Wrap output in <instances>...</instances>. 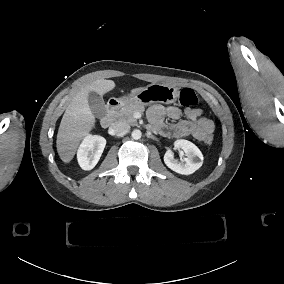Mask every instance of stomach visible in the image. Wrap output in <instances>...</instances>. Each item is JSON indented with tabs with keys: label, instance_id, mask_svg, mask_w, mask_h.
I'll return each instance as SVG.
<instances>
[{
	"label": "stomach",
	"instance_id": "obj_1",
	"mask_svg": "<svg viewBox=\"0 0 284 284\" xmlns=\"http://www.w3.org/2000/svg\"><path fill=\"white\" fill-rule=\"evenodd\" d=\"M179 97V89L174 86L153 83L135 95L121 99L123 104L150 105L152 103L172 104Z\"/></svg>",
	"mask_w": 284,
	"mask_h": 284
}]
</instances>
